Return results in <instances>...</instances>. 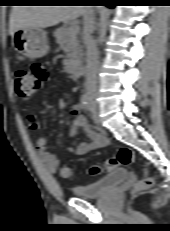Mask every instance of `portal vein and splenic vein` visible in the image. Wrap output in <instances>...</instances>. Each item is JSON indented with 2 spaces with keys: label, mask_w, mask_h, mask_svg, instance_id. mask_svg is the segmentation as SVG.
<instances>
[{
  "label": "portal vein and splenic vein",
  "mask_w": 170,
  "mask_h": 231,
  "mask_svg": "<svg viewBox=\"0 0 170 231\" xmlns=\"http://www.w3.org/2000/svg\"><path fill=\"white\" fill-rule=\"evenodd\" d=\"M79 32V27L76 24H71L69 27V33L71 35H76Z\"/></svg>",
  "instance_id": "obj_1"
}]
</instances>
